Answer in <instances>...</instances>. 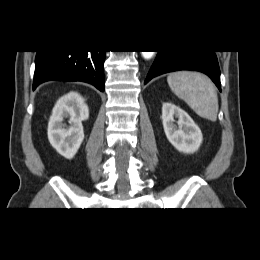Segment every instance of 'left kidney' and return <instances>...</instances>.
<instances>
[{
  "mask_svg": "<svg viewBox=\"0 0 260 260\" xmlns=\"http://www.w3.org/2000/svg\"><path fill=\"white\" fill-rule=\"evenodd\" d=\"M178 121L175 124V119ZM162 122L168 141L180 152H196L203 140L202 132L181 108L166 102L162 106Z\"/></svg>",
  "mask_w": 260,
  "mask_h": 260,
  "instance_id": "left-kidney-1",
  "label": "left kidney"
}]
</instances>
